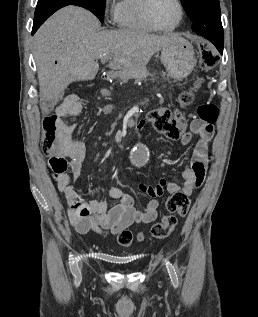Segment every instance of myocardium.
Returning a JSON list of instances; mask_svg holds the SVG:
<instances>
[{
    "label": "myocardium",
    "mask_w": 258,
    "mask_h": 317,
    "mask_svg": "<svg viewBox=\"0 0 258 317\" xmlns=\"http://www.w3.org/2000/svg\"><path fill=\"white\" fill-rule=\"evenodd\" d=\"M156 0H148L144 9V19L146 21V23L155 31H159V32H171L173 30H175L181 23L182 19H183V15H184V10H183V4L181 0H175L178 4V8H179V17L177 22L169 27V28H161L159 26H157L151 17V8L152 5L154 4Z\"/></svg>",
    "instance_id": "obj_1"
}]
</instances>
